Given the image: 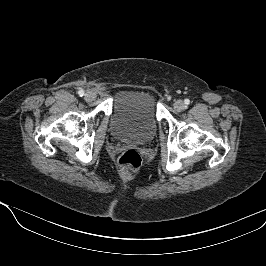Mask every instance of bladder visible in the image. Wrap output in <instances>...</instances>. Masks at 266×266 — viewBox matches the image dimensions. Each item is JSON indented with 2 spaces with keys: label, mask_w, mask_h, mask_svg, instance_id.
<instances>
[{
  "label": "bladder",
  "mask_w": 266,
  "mask_h": 266,
  "mask_svg": "<svg viewBox=\"0 0 266 266\" xmlns=\"http://www.w3.org/2000/svg\"><path fill=\"white\" fill-rule=\"evenodd\" d=\"M110 127L122 141L146 143L157 132V100L145 90L122 91L115 99Z\"/></svg>",
  "instance_id": "1"
}]
</instances>
